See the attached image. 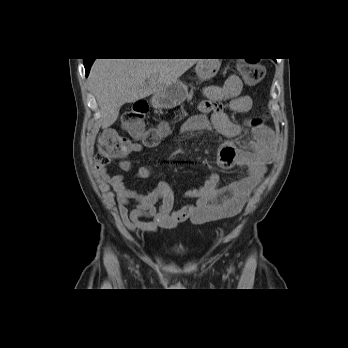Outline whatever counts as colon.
<instances>
[{"label":"colon","mask_w":348,"mask_h":348,"mask_svg":"<svg viewBox=\"0 0 348 348\" xmlns=\"http://www.w3.org/2000/svg\"><path fill=\"white\" fill-rule=\"evenodd\" d=\"M239 72L243 80L249 85L258 84L264 77V65L258 59H242L239 61ZM148 112L145 102H136L124 114L122 127L128 131L133 138L142 140L147 145L158 143L169 131L167 123H161L151 128L144 124ZM263 117L252 119V125L259 127L263 124ZM131 142L114 129L102 132L98 140L96 163L98 166H106L111 161L122 158L130 152Z\"/></svg>","instance_id":"colon-1"}]
</instances>
